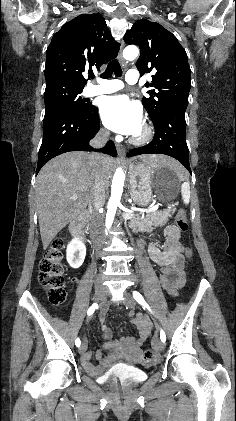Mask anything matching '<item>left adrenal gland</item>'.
Segmentation results:
<instances>
[{"mask_svg": "<svg viewBox=\"0 0 236 421\" xmlns=\"http://www.w3.org/2000/svg\"><path fill=\"white\" fill-rule=\"evenodd\" d=\"M127 198H128V194H126V196H125V200H127Z\"/></svg>", "mask_w": 236, "mask_h": 421, "instance_id": "a2214340", "label": "left adrenal gland"}]
</instances>
